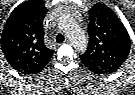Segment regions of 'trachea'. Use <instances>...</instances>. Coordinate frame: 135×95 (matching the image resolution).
Returning a JSON list of instances; mask_svg holds the SVG:
<instances>
[{
    "label": "trachea",
    "mask_w": 135,
    "mask_h": 95,
    "mask_svg": "<svg viewBox=\"0 0 135 95\" xmlns=\"http://www.w3.org/2000/svg\"><path fill=\"white\" fill-rule=\"evenodd\" d=\"M64 36L62 35V34H58L57 36H56V42H58V43H61V42H63L64 41Z\"/></svg>",
    "instance_id": "obj_1"
}]
</instances>
